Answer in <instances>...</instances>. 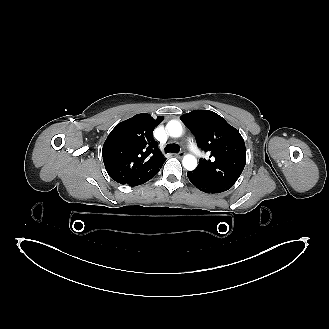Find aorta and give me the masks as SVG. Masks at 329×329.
Segmentation results:
<instances>
[{
	"mask_svg": "<svg viewBox=\"0 0 329 329\" xmlns=\"http://www.w3.org/2000/svg\"><path fill=\"white\" fill-rule=\"evenodd\" d=\"M166 130L169 135L174 138H178L182 135L183 128L179 121L171 120L166 125ZM183 167L186 170H194L197 167V159L193 155H186L182 160Z\"/></svg>",
	"mask_w": 329,
	"mask_h": 329,
	"instance_id": "aorta-1",
	"label": "aorta"
}]
</instances>
